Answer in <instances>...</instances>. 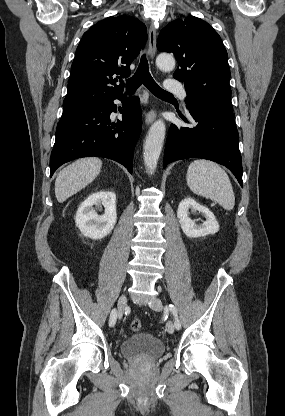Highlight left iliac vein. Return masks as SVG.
<instances>
[{
  "label": "left iliac vein",
  "mask_w": 285,
  "mask_h": 416,
  "mask_svg": "<svg viewBox=\"0 0 285 416\" xmlns=\"http://www.w3.org/2000/svg\"><path fill=\"white\" fill-rule=\"evenodd\" d=\"M149 307L153 310L159 311L162 309L163 307V303L162 300L159 298H154L153 301L149 304ZM178 328L180 329V327L178 326ZM166 331L169 334H172L174 332V325L171 321H168L166 323Z\"/></svg>",
  "instance_id": "4c4485c4"
}]
</instances>
